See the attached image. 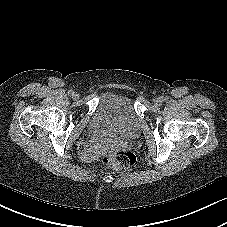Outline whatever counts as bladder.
Segmentation results:
<instances>
[{
  "label": "bladder",
  "mask_w": 227,
  "mask_h": 227,
  "mask_svg": "<svg viewBox=\"0 0 227 227\" xmlns=\"http://www.w3.org/2000/svg\"><path fill=\"white\" fill-rule=\"evenodd\" d=\"M90 130L102 141H132L140 135L141 122L127 96L108 92L91 118Z\"/></svg>",
  "instance_id": "31cf9c89"
}]
</instances>
